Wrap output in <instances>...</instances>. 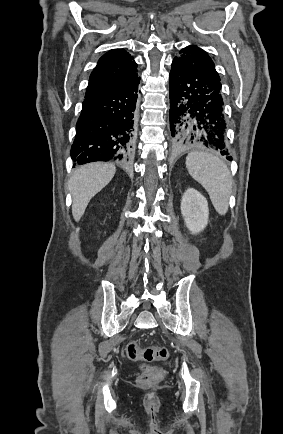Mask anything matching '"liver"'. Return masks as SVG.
Wrapping results in <instances>:
<instances>
[{"mask_svg":"<svg viewBox=\"0 0 283 434\" xmlns=\"http://www.w3.org/2000/svg\"><path fill=\"white\" fill-rule=\"evenodd\" d=\"M116 168L107 163H91L78 168L70 178L72 215L76 222L83 216L90 200L114 177Z\"/></svg>","mask_w":283,"mask_h":434,"instance_id":"6515ba94","label":"liver"}]
</instances>
